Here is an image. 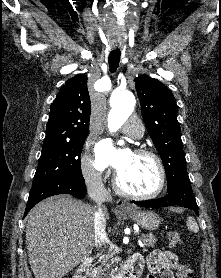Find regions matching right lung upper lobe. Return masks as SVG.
Masks as SVG:
<instances>
[{
  "label": "right lung upper lobe",
  "instance_id": "obj_1",
  "mask_svg": "<svg viewBox=\"0 0 221 278\" xmlns=\"http://www.w3.org/2000/svg\"><path fill=\"white\" fill-rule=\"evenodd\" d=\"M90 113L87 76L78 74L62 86L53 101L44 142L87 135Z\"/></svg>",
  "mask_w": 221,
  "mask_h": 278
}]
</instances>
